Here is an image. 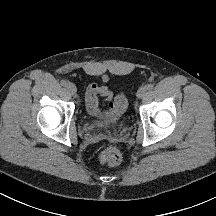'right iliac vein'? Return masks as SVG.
<instances>
[{
    "instance_id": "63e3f726",
    "label": "right iliac vein",
    "mask_w": 216,
    "mask_h": 216,
    "mask_svg": "<svg viewBox=\"0 0 216 216\" xmlns=\"http://www.w3.org/2000/svg\"><path fill=\"white\" fill-rule=\"evenodd\" d=\"M67 90L69 91L70 94L74 95L77 92V88L73 83H68V85L66 86Z\"/></svg>"
}]
</instances>
